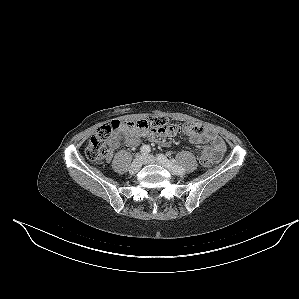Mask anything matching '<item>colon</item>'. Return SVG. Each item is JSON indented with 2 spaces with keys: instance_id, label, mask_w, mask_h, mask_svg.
Wrapping results in <instances>:
<instances>
[{
  "instance_id": "colon-1",
  "label": "colon",
  "mask_w": 299,
  "mask_h": 299,
  "mask_svg": "<svg viewBox=\"0 0 299 299\" xmlns=\"http://www.w3.org/2000/svg\"><path fill=\"white\" fill-rule=\"evenodd\" d=\"M122 126L150 129L158 133H182L188 135L197 133L202 129V125L197 122H187L183 125H176L172 124L168 118L163 116H153L135 122H120L114 120L102 125L91 137L85 150L86 157L92 162L105 160L112 149V135ZM200 162L204 167H210L212 165V161L206 157L201 158Z\"/></svg>"
}]
</instances>
